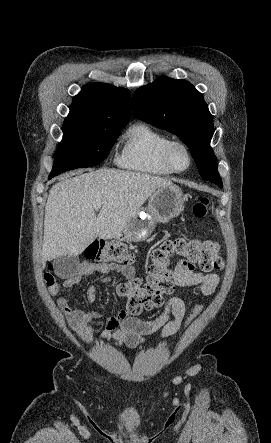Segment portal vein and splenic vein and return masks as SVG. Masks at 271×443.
Listing matches in <instances>:
<instances>
[{"instance_id": "obj_1", "label": "portal vein and splenic vein", "mask_w": 271, "mask_h": 443, "mask_svg": "<svg viewBox=\"0 0 271 443\" xmlns=\"http://www.w3.org/2000/svg\"><path fill=\"white\" fill-rule=\"evenodd\" d=\"M101 206H102V204H100V202H99V204H94L93 208H94V210H100Z\"/></svg>"}]
</instances>
